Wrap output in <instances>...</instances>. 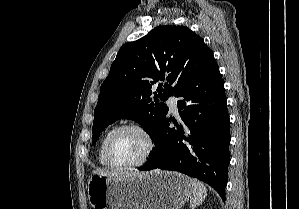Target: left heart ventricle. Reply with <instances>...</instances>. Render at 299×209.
I'll use <instances>...</instances> for the list:
<instances>
[{
  "instance_id": "1",
  "label": "left heart ventricle",
  "mask_w": 299,
  "mask_h": 209,
  "mask_svg": "<svg viewBox=\"0 0 299 209\" xmlns=\"http://www.w3.org/2000/svg\"><path fill=\"white\" fill-rule=\"evenodd\" d=\"M146 150V141L133 130L120 133L113 141L111 160L117 165H127L139 160Z\"/></svg>"
}]
</instances>
